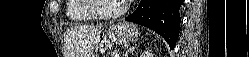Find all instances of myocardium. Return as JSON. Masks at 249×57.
Returning a JSON list of instances; mask_svg holds the SVG:
<instances>
[{"instance_id":"myocardium-1","label":"myocardium","mask_w":249,"mask_h":57,"mask_svg":"<svg viewBox=\"0 0 249 57\" xmlns=\"http://www.w3.org/2000/svg\"><path fill=\"white\" fill-rule=\"evenodd\" d=\"M99 0H87L86 7L87 9L98 19L100 20H114L121 17L128 9V2L123 1V5L119 11L110 14H104L99 10Z\"/></svg>"}]
</instances>
